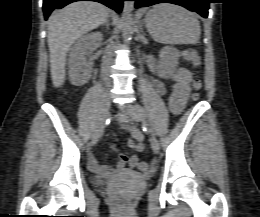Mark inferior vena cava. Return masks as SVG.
<instances>
[{"instance_id":"1","label":"inferior vena cava","mask_w":260,"mask_h":217,"mask_svg":"<svg viewBox=\"0 0 260 217\" xmlns=\"http://www.w3.org/2000/svg\"><path fill=\"white\" fill-rule=\"evenodd\" d=\"M112 56H113V49L111 46H109L107 48L105 55L103 57V60H102V73H103V75H105L106 81H109V79L107 77V73H108L109 67L112 63Z\"/></svg>"}]
</instances>
